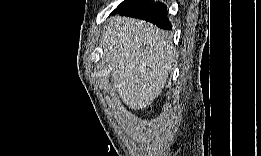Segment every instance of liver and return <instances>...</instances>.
I'll use <instances>...</instances> for the list:
<instances>
[{"instance_id":"obj_1","label":"liver","mask_w":261,"mask_h":156,"mask_svg":"<svg viewBox=\"0 0 261 156\" xmlns=\"http://www.w3.org/2000/svg\"><path fill=\"white\" fill-rule=\"evenodd\" d=\"M111 82L131 109H145L162 93L174 48L164 31L143 21L115 17L101 38Z\"/></svg>"}]
</instances>
